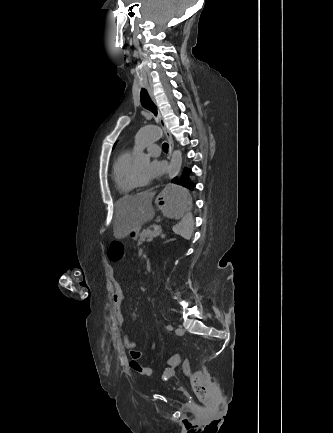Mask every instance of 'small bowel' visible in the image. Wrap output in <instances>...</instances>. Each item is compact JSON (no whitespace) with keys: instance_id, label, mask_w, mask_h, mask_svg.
I'll list each match as a JSON object with an SVG mask.
<instances>
[{"instance_id":"obj_1","label":"small bowel","mask_w":333,"mask_h":433,"mask_svg":"<svg viewBox=\"0 0 333 433\" xmlns=\"http://www.w3.org/2000/svg\"><path fill=\"white\" fill-rule=\"evenodd\" d=\"M112 299H113V303L116 307L117 310V319L119 321L120 324L124 323V316L122 313V304L124 302L125 299V295H124V291L123 288L121 286V283L116 279V277H113L112 280ZM122 343L123 346L129 351V357H130V361H136L138 363L139 360L141 359L143 353L142 351L137 349V345L134 341H132L129 336L125 335L123 336L122 339ZM152 349L155 347V342L152 343ZM174 369H168L166 374H173L174 373Z\"/></svg>"}]
</instances>
